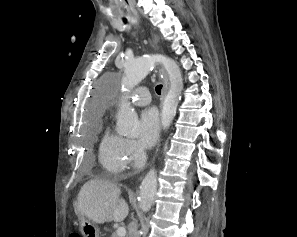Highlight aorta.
Instances as JSON below:
<instances>
[{
    "label": "aorta",
    "mask_w": 297,
    "mask_h": 237,
    "mask_svg": "<svg viewBox=\"0 0 297 237\" xmlns=\"http://www.w3.org/2000/svg\"><path fill=\"white\" fill-rule=\"evenodd\" d=\"M157 64L164 67L169 77V91L165 97L161 114L162 126L167 128L176 114L184 87L182 73L176 61L163 55H150L129 60L125 65L122 84L127 89H133ZM140 130L138 116L128 100L124 98L117 115V132L122 135L137 136L140 134ZM156 191L157 175L156 171L151 169L140 185L139 205L143 212L147 213L153 206Z\"/></svg>",
    "instance_id": "1"
}]
</instances>
